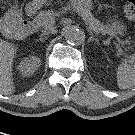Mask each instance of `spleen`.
Returning a JSON list of instances; mask_svg holds the SVG:
<instances>
[{
	"mask_svg": "<svg viewBox=\"0 0 135 135\" xmlns=\"http://www.w3.org/2000/svg\"><path fill=\"white\" fill-rule=\"evenodd\" d=\"M117 85L120 89H129L135 86V64L122 63L118 66Z\"/></svg>",
	"mask_w": 135,
	"mask_h": 135,
	"instance_id": "3e777b00",
	"label": "spleen"
}]
</instances>
